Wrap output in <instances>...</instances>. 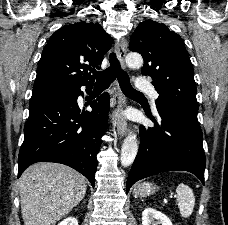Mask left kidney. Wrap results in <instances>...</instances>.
<instances>
[{
    "mask_svg": "<svg viewBox=\"0 0 228 225\" xmlns=\"http://www.w3.org/2000/svg\"><path fill=\"white\" fill-rule=\"evenodd\" d=\"M142 225H172V223L160 211H156L153 207H147L142 213Z\"/></svg>",
    "mask_w": 228,
    "mask_h": 225,
    "instance_id": "5707ae66",
    "label": "left kidney"
}]
</instances>
